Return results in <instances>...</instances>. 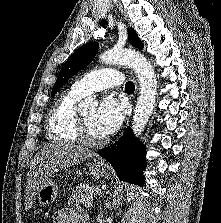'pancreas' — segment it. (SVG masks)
Returning a JSON list of instances; mask_svg holds the SVG:
<instances>
[{"label":"pancreas","mask_w":221,"mask_h":223,"mask_svg":"<svg viewBox=\"0 0 221 223\" xmlns=\"http://www.w3.org/2000/svg\"><path fill=\"white\" fill-rule=\"evenodd\" d=\"M99 191L100 189L96 186L80 184L72 192L68 199V205L72 207L84 206L91 209L93 206V196Z\"/></svg>","instance_id":"1"}]
</instances>
